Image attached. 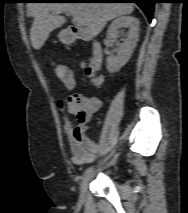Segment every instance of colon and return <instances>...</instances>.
<instances>
[{"mask_svg": "<svg viewBox=\"0 0 188 213\" xmlns=\"http://www.w3.org/2000/svg\"><path fill=\"white\" fill-rule=\"evenodd\" d=\"M53 69L57 77L65 84L68 88L75 86V80L71 71L63 64L54 62ZM85 73L92 79V83L99 87L103 83V78L97 74L96 68L91 65H84Z\"/></svg>", "mask_w": 188, "mask_h": 213, "instance_id": "5ec220e1", "label": "colon"}]
</instances>
